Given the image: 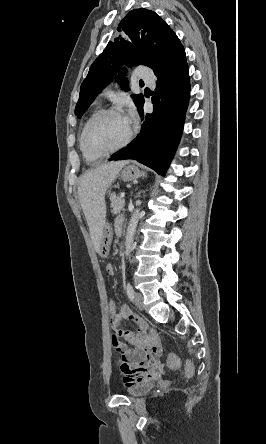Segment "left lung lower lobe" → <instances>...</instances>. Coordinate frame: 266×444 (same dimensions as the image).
<instances>
[{"mask_svg": "<svg viewBox=\"0 0 266 444\" xmlns=\"http://www.w3.org/2000/svg\"><path fill=\"white\" fill-rule=\"evenodd\" d=\"M157 97L152 98L153 113L143 115L144 123L135 141L109 160L135 159L164 174L181 138L189 101V74L185 52L155 74Z\"/></svg>", "mask_w": 266, "mask_h": 444, "instance_id": "1", "label": "left lung lower lobe"}]
</instances>
